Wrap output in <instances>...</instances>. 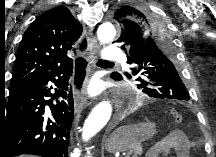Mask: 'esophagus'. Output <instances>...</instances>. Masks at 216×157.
Masks as SVG:
<instances>
[{
  "instance_id": "obj_1",
  "label": "esophagus",
  "mask_w": 216,
  "mask_h": 157,
  "mask_svg": "<svg viewBox=\"0 0 216 157\" xmlns=\"http://www.w3.org/2000/svg\"><path fill=\"white\" fill-rule=\"evenodd\" d=\"M81 46V45H80ZM98 51L97 41L92 37H87L86 46L84 49L78 48L77 57L74 60V74H82V83L73 84L74 105L76 109H82L87 103V86L91 72V67L94 64L96 53ZM83 59L80 61L79 59Z\"/></svg>"
}]
</instances>
